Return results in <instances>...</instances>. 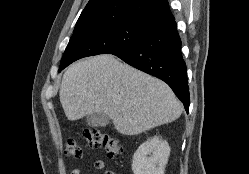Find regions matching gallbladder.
I'll return each mask as SVG.
<instances>
[{
  "instance_id": "gallbladder-1",
  "label": "gallbladder",
  "mask_w": 249,
  "mask_h": 174,
  "mask_svg": "<svg viewBox=\"0 0 249 174\" xmlns=\"http://www.w3.org/2000/svg\"><path fill=\"white\" fill-rule=\"evenodd\" d=\"M86 120L92 127H104L110 122V118L102 113H91L87 115Z\"/></svg>"
}]
</instances>
